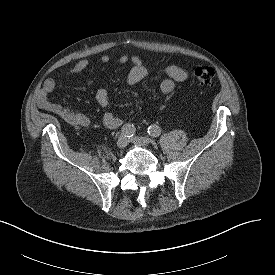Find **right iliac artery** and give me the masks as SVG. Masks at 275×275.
Masks as SVG:
<instances>
[{"label":"right iliac artery","mask_w":275,"mask_h":275,"mask_svg":"<svg viewBox=\"0 0 275 275\" xmlns=\"http://www.w3.org/2000/svg\"><path fill=\"white\" fill-rule=\"evenodd\" d=\"M135 127L133 126V124H125L123 127H122V134L125 135L126 137H133V135L135 134Z\"/></svg>","instance_id":"obj_1"}]
</instances>
